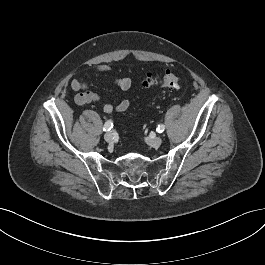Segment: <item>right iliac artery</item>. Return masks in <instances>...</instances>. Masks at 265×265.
I'll use <instances>...</instances> for the list:
<instances>
[{
	"label": "right iliac artery",
	"mask_w": 265,
	"mask_h": 265,
	"mask_svg": "<svg viewBox=\"0 0 265 265\" xmlns=\"http://www.w3.org/2000/svg\"><path fill=\"white\" fill-rule=\"evenodd\" d=\"M112 127H113V122L111 120H108L107 122H105L103 126V131H110Z\"/></svg>",
	"instance_id": "obj_1"
}]
</instances>
